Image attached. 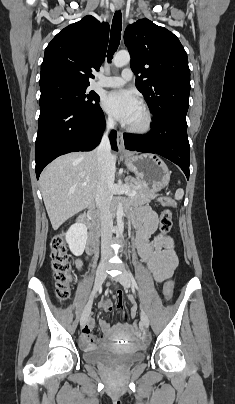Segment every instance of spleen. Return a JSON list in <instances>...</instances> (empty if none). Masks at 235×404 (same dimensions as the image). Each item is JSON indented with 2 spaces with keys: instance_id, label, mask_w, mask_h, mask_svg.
I'll list each match as a JSON object with an SVG mask.
<instances>
[{
  "instance_id": "obj_1",
  "label": "spleen",
  "mask_w": 235,
  "mask_h": 404,
  "mask_svg": "<svg viewBox=\"0 0 235 404\" xmlns=\"http://www.w3.org/2000/svg\"><path fill=\"white\" fill-rule=\"evenodd\" d=\"M184 196V191L183 189H177V191L175 192L174 198L176 200H181Z\"/></svg>"
}]
</instances>
